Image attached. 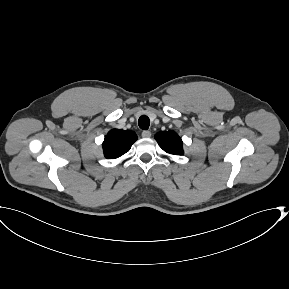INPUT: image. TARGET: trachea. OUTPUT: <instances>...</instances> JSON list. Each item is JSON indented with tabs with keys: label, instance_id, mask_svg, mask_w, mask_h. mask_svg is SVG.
Instances as JSON below:
<instances>
[{
	"label": "trachea",
	"instance_id": "1",
	"mask_svg": "<svg viewBox=\"0 0 289 289\" xmlns=\"http://www.w3.org/2000/svg\"><path fill=\"white\" fill-rule=\"evenodd\" d=\"M138 125L141 129L143 130H147L149 128L150 125V120L147 116H141L138 120Z\"/></svg>",
	"mask_w": 289,
	"mask_h": 289
}]
</instances>
